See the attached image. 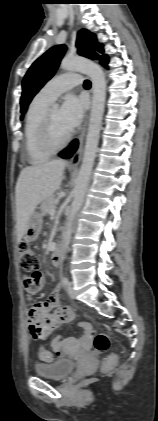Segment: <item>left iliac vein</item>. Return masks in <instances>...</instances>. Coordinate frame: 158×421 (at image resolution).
Listing matches in <instances>:
<instances>
[{"label":"left iliac vein","instance_id":"1","mask_svg":"<svg viewBox=\"0 0 158 421\" xmlns=\"http://www.w3.org/2000/svg\"><path fill=\"white\" fill-rule=\"evenodd\" d=\"M67 291H68L69 296L74 299L75 298V292H74V289H73V286H72L71 283L68 284Z\"/></svg>","mask_w":158,"mask_h":421}]
</instances>
